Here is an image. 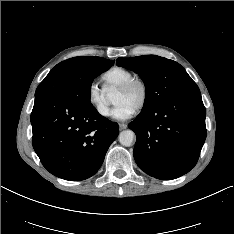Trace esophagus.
I'll use <instances>...</instances> for the list:
<instances>
[{
	"label": "esophagus",
	"instance_id": "obj_1",
	"mask_svg": "<svg viewBox=\"0 0 234 234\" xmlns=\"http://www.w3.org/2000/svg\"><path fill=\"white\" fill-rule=\"evenodd\" d=\"M119 127H120L121 130H124V129L127 128V124L121 123V124H119Z\"/></svg>",
	"mask_w": 234,
	"mask_h": 234
}]
</instances>
